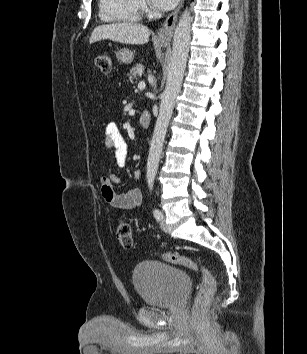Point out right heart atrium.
<instances>
[{
  "mask_svg": "<svg viewBox=\"0 0 307 354\" xmlns=\"http://www.w3.org/2000/svg\"><path fill=\"white\" fill-rule=\"evenodd\" d=\"M140 6H141V8H145V3L144 2H140Z\"/></svg>",
  "mask_w": 307,
  "mask_h": 354,
  "instance_id": "1",
  "label": "right heart atrium"
}]
</instances>
